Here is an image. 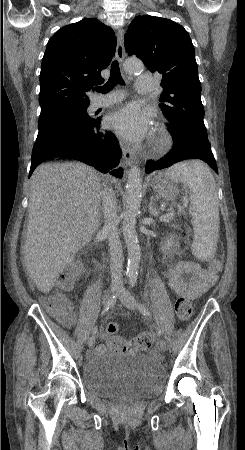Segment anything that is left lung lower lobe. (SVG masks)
<instances>
[{"instance_id":"0a47b994","label":"left lung lower lobe","mask_w":245,"mask_h":450,"mask_svg":"<svg viewBox=\"0 0 245 450\" xmlns=\"http://www.w3.org/2000/svg\"><path fill=\"white\" fill-rule=\"evenodd\" d=\"M190 158H197L207 162L216 173L217 165L211 151L210 144H186L179 145L174 143V148L160 160H149L146 164L145 172L150 173L154 170H160L170 167L172 164Z\"/></svg>"}]
</instances>
